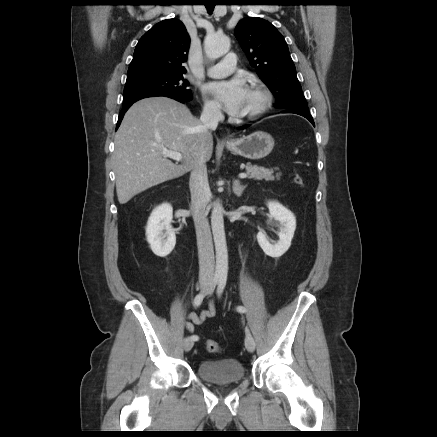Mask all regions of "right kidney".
<instances>
[{"instance_id": "1", "label": "right kidney", "mask_w": 437, "mask_h": 437, "mask_svg": "<svg viewBox=\"0 0 437 437\" xmlns=\"http://www.w3.org/2000/svg\"><path fill=\"white\" fill-rule=\"evenodd\" d=\"M172 218V206L164 203L156 207L148 219L146 238L156 256L166 257L175 247L176 236L171 225Z\"/></svg>"}]
</instances>
